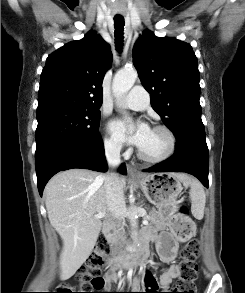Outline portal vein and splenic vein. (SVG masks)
Returning <instances> with one entry per match:
<instances>
[{
	"label": "portal vein and splenic vein",
	"mask_w": 245,
	"mask_h": 293,
	"mask_svg": "<svg viewBox=\"0 0 245 293\" xmlns=\"http://www.w3.org/2000/svg\"><path fill=\"white\" fill-rule=\"evenodd\" d=\"M104 216H105L104 213H99V214L95 215L96 218H102V217H104ZM142 223H143L144 225H147V224H148V220L144 219V220L142 221Z\"/></svg>",
	"instance_id": "18ae733b"
}]
</instances>
